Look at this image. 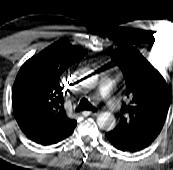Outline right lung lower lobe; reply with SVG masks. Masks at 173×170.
<instances>
[{
  "instance_id": "right-lung-lower-lobe-1",
  "label": "right lung lower lobe",
  "mask_w": 173,
  "mask_h": 170,
  "mask_svg": "<svg viewBox=\"0 0 173 170\" xmlns=\"http://www.w3.org/2000/svg\"><path fill=\"white\" fill-rule=\"evenodd\" d=\"M73 132V131H72ZM72 132H70L67 136H65L64 138H62L61 140H63V139H65V138H67ZM61 140H59V141H61ZM59 141H57V142H59ZM57 142H54V143H52V144H55V143H57ZM48 145H50V144H48Z\"/></svg>"
}]
</instances>
